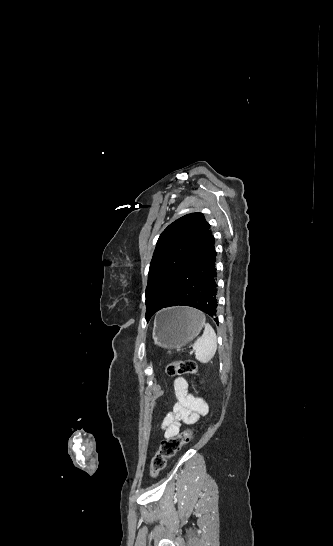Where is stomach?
Listing matches in <instances>:
<instances>
[{
	"label": "stomach",
	"instance_id": "stomach-1",
	"mask_svg": "<svg viewBox=\"0 0 333 546\" xmlns=\"http://www.w3.org/2000/svg\"><path fill=\"white\" fill-rule=\"evenodd\" d=\"M205 326L202 314L190 307H171L156 315L154 343L168 349H178L196 338Z\"/></svg>",
	"mask_w": 333,
	"mask_h": 546
}]
</instances>
